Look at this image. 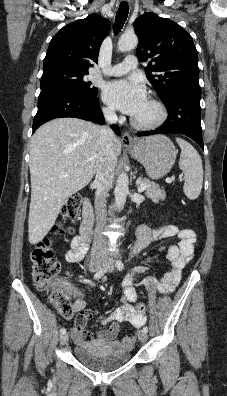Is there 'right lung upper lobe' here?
I'll use <instances>...</instances> for the list:
<instances>
[{"label": "right lung upper lobe", "mask_w": 227, "mask_h": 396, "mask_svg": "<svg viewBox=\"0 0 227 396\" xmlns=\"http://www.w3.org/2000/svg\"><path fill=\"white\" fill-rule=\"evenodd\" d=\"M109 29V22L97 14L64 26L49 43L43 71L53 68L88 71L93 66L90 61H97Z\"/></svg>", "instance_id": "cb5924a9"}]
</instances>
